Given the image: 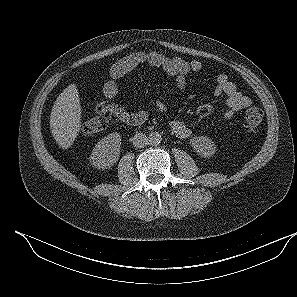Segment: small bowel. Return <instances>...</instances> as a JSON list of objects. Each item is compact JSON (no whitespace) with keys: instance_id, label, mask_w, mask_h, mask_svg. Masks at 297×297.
Wrapping results in <instances>:
<instances>
[{"instance_id":"obj_1","label":"small bowel","mask_w":297,"mask_h":297,"mask_svg":"<svg viewBox=\"0 0 297 297\" xmlns=\"http://www.w3.org/2000/svg\"><path fill=\"white\" fill-rule=\"evenodd\" d=\"M149 65L158 68L175 80L176 89L183 92L187 86V76L190 73L199 72L203 64L199 60L186 61L180 57H170L160 51L135 52L117 60L110 68V79L104 84L103 93L107 100L115 99L119 94L117 81L123 75L132 71L140 65ZM216 96L226 97V111L223 114L225 119H230L235 113L247 108L251 104L248 96L242 94L236 85L231 82L227 75L220 74L217 77V85L214 90ZM98 113H110L119 121L138 125L148 118L146 111L135 113L127 112L121 105L111 101H104L97 105ZM170 127L180 139H188L192 136V130L181 120L170 121Z\"/></svg>"}]
</instances>
